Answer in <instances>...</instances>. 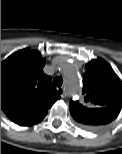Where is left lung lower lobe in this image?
<instances>
[{"label": "left lung lower lobe", "mask_w": 122, "mask_h": 154, "mask_svg": "<svg viewBox=\"0 0 122 154\" xmlns=\"http://www.w3.org/2000/svg\"><path fill=\"white\" fill-rule=\"evenodd\" d=\"M98 111L99 112L95 113L93 117L84 119L85 121L88 122V125H82V124L80 125L83 128L88 129V130L98 129L102 127L103 125L113 121L119 114L120 109L106 107V108L98 109Z\"/></svg>", "instance_id": "left-lung-lower-lobe-1"}]
</instances>
